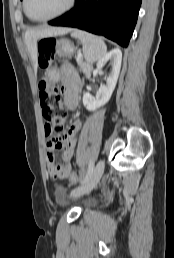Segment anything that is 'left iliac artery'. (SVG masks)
<instances>
[{"instance_id": "1", "label": "left iliac artery", "mask_w": 174, "mask_h": 258, "mask_svg": "<svg viewBox=\"0 0 174 258\" xmlns=\"http://www.w3.org/2000/svg\"><path fill=\"white\" fill-rule=\"evenodd\" d=\"M93 170H94V163L91 161L89 166H88V171L86 173V176L84 177V179L81 181V184L86 183L92 176L93 174Z\"/></svg>"}]
</instances>
